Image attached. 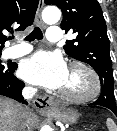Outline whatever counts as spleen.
Wrapping results in <instances>:
<instances>
[{
	"label": "spleen",
	"instance_id": "3e777b00",
	"mask_svg": "<svg viewBox=\"0 0 117 131\" xmlns=\"http://www.w3.org/2000/svg\"><path fill=\"white\" fill-rule=\"evenodd\" d=\"M106 124L109 131H117V126L111 118H107Z\"/></svg>",
	"mask_w": 117,
	"mask_h": 131
}]
</instances>
